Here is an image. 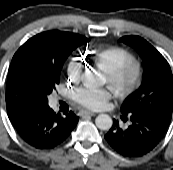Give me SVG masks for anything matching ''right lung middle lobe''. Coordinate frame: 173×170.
I'll return each instance as SVG.
<instances>
[{"label": "right lung middle lobe", "mask_w": 173, "mask_h": 170, "mask_svg": "<svg viewBox=\"0 0 173 170\" xmlns=\"http://www.w3.org/2000/svg\"><path fill=\"white\" fill-rule=\"evenodd\" d=\"M18 71L20 76L32 87V102L48 105V96L59 83L60 74L49 70L38 75L25 62L18 65Z\"/></svg>", "instance_id": "1"}]
</instances>
